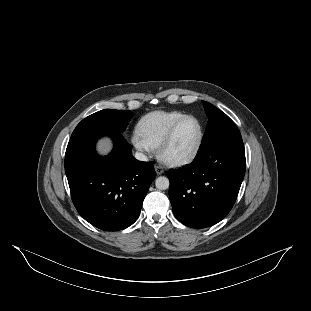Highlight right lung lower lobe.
Returning a JSON list of instances; mask_svg holds the SVG:
<instances>
[{
	"label": "right lung lower lobe",
	"instance_id": "obj_1",
	"mask_svg": "<svg viewBox=\"0 0 311 311\" xmlns=\"http://www.w3.org/2000/svg\"><path fill=\"white\" fill-rule=\"evenodd\" d=\"M109 135L114 149L106 157L95 151L96 140ZM132 147L114 130L92 129L73 134L65 154V172L79 214L95 227L118 231L139 217L156 173L151 162L132 156Z\"/></svg>",
	"mask_w": 311,
	"mask_h": 311
}]
</instances>
